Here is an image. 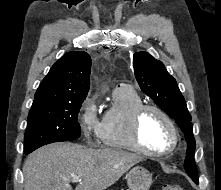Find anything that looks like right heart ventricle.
Segmentation results:
<instances>
[{
    "instance_id": "1",
    "label": "right heart ventricle",
    "mask_w": 221,
    "mask_h": 190,
    "mask_svg": "<svg viewBox=\"0 0 221 190\" xmlns=\"http://www.w3.org/2000/svg\"><path fill=\"white\" fill-rule=\"evenodd\" d=\"M113 103L100 122L99 139L102 147L139 152L130 137V120L134 110L144 104L139 93L130 85L122 84L112 92Z\"/></svg>"
}]
</instances>
